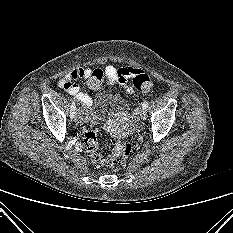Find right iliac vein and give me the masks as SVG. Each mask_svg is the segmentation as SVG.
Listing matches in <instances>:
<instances>
[{"label": "right iliac vein", "mask_w": 233, "mask_h": 233, "mask_svg": "<svg viewBox=\"0 0 233 233\" xmlns=\"http://www.w3.org/2000/svg\"><path fill=\"white\" fill-rule=\"evenodd\" d=\"M80 118H81L80 113L76 111L75 116H74V121L76 124L79 123Z\"/></svg>", "instance_id": "1"}]
</instances>
